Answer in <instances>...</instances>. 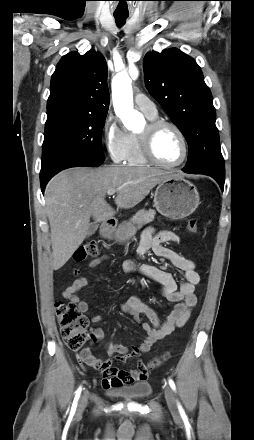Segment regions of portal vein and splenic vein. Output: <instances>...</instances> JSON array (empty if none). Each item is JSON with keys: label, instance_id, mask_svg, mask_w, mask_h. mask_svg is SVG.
Returning <instances> with one entry per match:
<instances>
[{"label": "portal vein and splenic vein", "instance_id": "obj_1", "mask_svg": "<svg viewBox=\"0 0 254 440\" xmlns=\"http://www.w3.org/2000/svg\"><path fill=\"white\" fill-rule=\"evenodd\" d=\"M115 193H116V190H115V189H111V190H108L107 195H108V196H112V195H114Z\"/></svg>", "mask_w": 254, "mask_h": 440}]
</instances>
